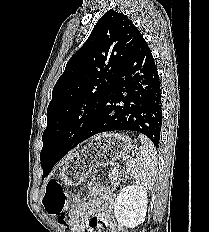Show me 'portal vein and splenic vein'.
I'll return each mask as SVG.
<instances>
[{"label":"portal vein and splenic vein","instance_id":"18ae733b","mask_svg":"<svg viewBox=\"0 0 209 232\" xmlns=\"http://www.w3.org/2000/svg\"><path fill=\"white\" fill-rule=\"evenodd\" d=\"M117 168H119V165H117L116 167H114V169H117Z\"/></svg>","mask_w":209,"mask_h":232}]
</instances>
